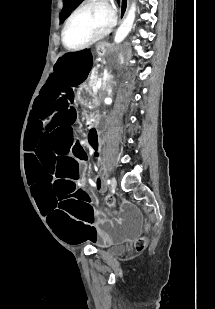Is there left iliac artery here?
I'll list each match as a JSON object with an SVG mask.
<instances>
[{
  "mask_svg": "<svg viewBox=\"0 0 215 309\" xmlns=\"http://www.w3.org/2000/svg\"><path fill=\"white\" fill-rule=\"evenodd\" d=\"M106 183L109 185V184H110V180L108 179V180L106 181Z\"/></svg>",
  "mask_w": 215,
  "mask_h": 309,
  "instance_id": "obj_1",
  "label": "left iliac artery"
}]
</instances>
